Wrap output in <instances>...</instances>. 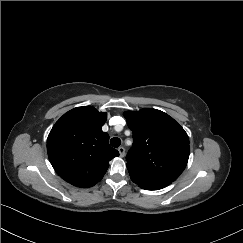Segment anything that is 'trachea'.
Masks as SVG:
<instances>
[{"label": "trachea", "instance_id": "3493384b", "mask_svg": "<svg viewBox=\"0 0 243 243\" xmlns=\"http://www.w3.org/2000/svg\"><path fill=\"white\" fill-rule=\"evenodd\" d=\"M110 144L114 147V148H117L120 146L121 144V140L117 137H114L110 140Z\"/></svg>", "mask_w": 243, "mask_h": 243}]
</instances>
